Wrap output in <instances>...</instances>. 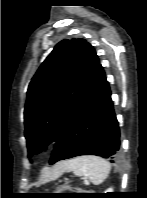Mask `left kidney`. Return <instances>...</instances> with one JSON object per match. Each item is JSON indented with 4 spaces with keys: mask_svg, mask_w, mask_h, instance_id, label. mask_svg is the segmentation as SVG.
<instances>
[{
    "mask_svg": "<svg viewBox=\"0 0 147 198\" xmlns=\"http://www.w3.org/2000/svg\"><path fill=\"white\" fill-rule=\"evenodd\" d=\"M106 192H113L112 188H109Z\"/></svg>",
    "mask_w": 147,
    "mask_h": 198,
    "instance_id": "obj_1",
    "label": "left kidney"
}]
</instances>
